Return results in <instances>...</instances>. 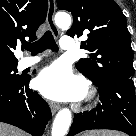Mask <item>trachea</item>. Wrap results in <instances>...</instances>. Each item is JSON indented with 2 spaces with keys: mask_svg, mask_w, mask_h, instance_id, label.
Here are the masks:
<instances>
[{
  "mask_svg": "<svg viewBox=\"0 0 136 136\" xmlns=\"http://www.w3.org/2000/svg\"><path fill=\"white\" fill-rule=\"evenodd\" d=\"M23 47L24 49L31 51L33 55L41 53L46 49H51L53 51L58 50L54 37L49 30H47L38 41L31 44H25Z\"/></svg>",
  "mask_w": 136,
  "mask_h": 136,
  "instance_id": "obj_1",
  "label": "trachea"
}]
</instances>
